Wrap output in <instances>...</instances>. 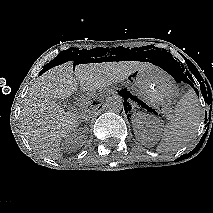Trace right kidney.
I'll list each match as a JSON object with an SVG mask.
<instances>
[{
    "mask_svg": "<svg viewBox=\"0 0 213 213\" xmlns=\"http://www.w3.org/2000/svg\"><path fill=\"white\" fill-rule=\"evenodd\" d=\"M87 134L88 132L85 129H79L74 133L68 135L65 138L66 150L73 151L75 149L80 148L84 144Z\"/></svg>",
    "mask_w": 213,
    "mask_h": 213,
    "instance_id": "right-kidney-1",
    "label": "right kidney"
}]
</instances>
